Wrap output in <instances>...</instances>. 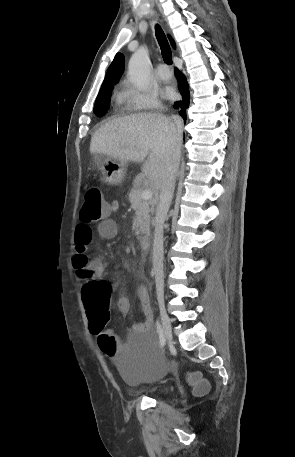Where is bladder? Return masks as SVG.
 <instances>
[{
  "label": "bladder",
  "instance_id": "obj_1",
  "mask_svg": "<svg viewBox=\"0 0 295 457\" xmlns=\"http://www.w3.org/2000/svg\"><path fill=\"white\" fill-rule=\"evenodd\" d=\"M133 350L126 354L124 363L118 367L123 381L131 387L154 384L155 378H168V364H159V357L153 347L158 346L157 338H133Z\"/></svg>",
  "mask_w": 295,
  "mask_h": 457
}]
</instances>
